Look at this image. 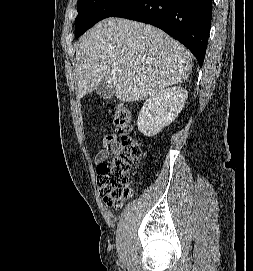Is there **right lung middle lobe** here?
Here are the masks:
<instances>
[{
    "label": "right lung middle lobe",
    "instance_id": "1",
    "mask_svg": "<svg viewBox=\"0 0 253 271\" xmlns=\"http://www.w3.org/2000/svg\"><path fill=\"white\" fill-rule=\"evenodd\" d=\"M129 0H78L75 37L78 38L98 21L111 17Z\"/></svg>",
    "mask_w": 253,
    "mask_h": 271
}]
</instances>
